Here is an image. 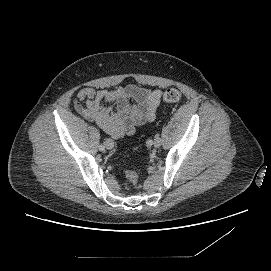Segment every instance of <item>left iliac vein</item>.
Returning <instances> with one entry per match:
<instances>
[{
  "label": "left iliac vein",
  "instance_id": "left-iliac-vein-1",
  "mask_svg": "<svg viewBox=\"0 0 271 271\" xmlns=\"http://www.w3.org/2000/svg\"><path fill=\"white\" fill-rule=\"evenodd\" d=\"M161 144H162L161 138H160V137H157V138L155 139V141H154V147L158 148V147L161 146Z\"/></svg>",
  "mask_w": 271,
  "mask_h": 271
}]
</instances>
